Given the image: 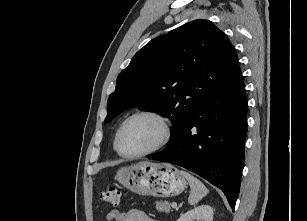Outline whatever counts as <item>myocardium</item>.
Returning a JSON list of instances; mask_svg holds the SVG:
<instances>
[{
  "mask_svg": "<svg viewBox=\"0 0 307 221\" xmlns=\"http://www.w3.org/2000/svg\"><path fill=\"white\" fill-rule=\"evenodd\" d=\"M138 117H150L154 120H156L160 127H161V136L158 139V141L149 149H147L146 151H143L141 153H136V154H127L125 152L122 151L121 146H120V141H121V136L122 133L125 129V127L127 126V124L132 121L135 118ZM172 135V127H171V123L169 121V119L164 116L163 114L156 112V111H152V110H141L138 112H135L134 114L130 115L129 117H127L122 124L120 125L117 133H116V137H115V149L116 151L124 158L127 159H136V158H141V157H145L148 156L158 150H160L162 147H164L168 141L170 140Z\"/></svg>",
  "mask_w": 307,
  "mask_h": 221,
  "instance_id": "obj_1",
  "label": "myocardium"
}]
</instances>
